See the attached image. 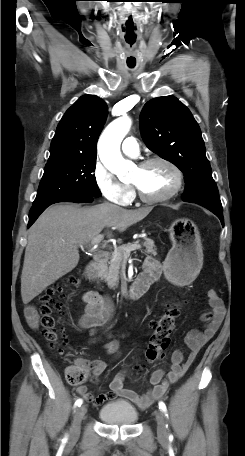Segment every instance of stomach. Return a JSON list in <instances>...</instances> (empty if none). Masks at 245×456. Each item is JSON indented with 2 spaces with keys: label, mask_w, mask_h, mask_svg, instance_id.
I'll list each match as a JSON object with an SVG mask.
<instances>
[{
  "label": "stomach",
  "mask_w": 245,
  "mask_h": 456,
  "mask_svg": "<svg viewBox=\"0 0 245 456\" xmlns=\"http://www.w3.org/2000/svg\"><path fill=\"white\" fill-rule=\"evenodd\" d=\"M172 248L164 261L166 277L176 285L194 280L203 262L200 233L195 223L186 218L175 220L169 227Z\"/></svg>",
  "instance_id": "1"
}]
</instances>
